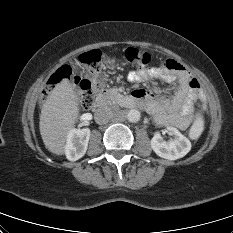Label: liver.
I'll use <instances>...</instances> for the list:
<instances>
[{"instance_id":"liver-1","label":"liver","mask_w":233,"mask_h":233,"mask_svg":"<svg viewBox=\"0 0 233 233\" xmlns=\"http://www.w3.org/2000/svg\"><path fill=\"white\" fill-rule=\"evenodd\" d=\"M79 101L72 84L62 80L45 100L40 114L39 129L45 147L63 155L68 133L78 120Z\"/></svg>"}]
</instances>
